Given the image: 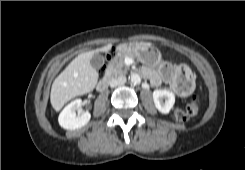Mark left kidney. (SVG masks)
<instances>
[{
  "label": "left kidney",
  "instance_id": "obj_1",
  "mask_svg": "<svg viewBox=\"0 0 245 170\" xmlns=\"http://www.w3.org/2000/svg\"><path fill=\"white\" fill-rule=\"evenodd\" d=\"M153 101L159 112L168 114L175 103V95L168 90L156 89L153 92Z\"/></svg>",
  "mask_w": 245,
  "mask_h": 170
}]
</instances>
